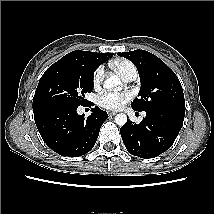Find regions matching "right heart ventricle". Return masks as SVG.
<instances>
[{
  "label": "right heart ventricle",
  "mask_w": 214,
  "mask_h": 214,
  "mask_svg": "<svg viewBox=\"0 0 214 214\" xmlns=\"http://www.w3.org/2000/svg\"><path fill=\"white\" fill-rule=\"evenodd\" d=\"M113 69L123 78L124 74L131 68L134 67V65L126 60L116 61L112 63Z\"/></svg>",
  "instance_id": "obj_1"
}]
</instances>
